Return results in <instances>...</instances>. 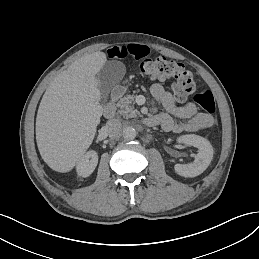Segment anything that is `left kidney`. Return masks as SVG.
I'll list each match as a JSON object with an SVG mask.
<instances>
[{
    "instance_id": "obj_1",
    "label": "left kidney",
    "mask_w": 259,
    "mask_h": 259,
    "mask_svg": "<svg viewBox=\"0 0 259 259\" xmlns=\"http://www.w3.org/2000/svg\"><path fill=\"white\" fill-rule=\"evenodd\" d=\"M178 143H184L199 149L195 160L190 164H176L175 172L183 177H196L203 173L213 159V147L210 142L198 135L188 134L177 138Z\"/></svg>"
}]
</instances>
